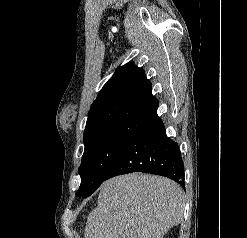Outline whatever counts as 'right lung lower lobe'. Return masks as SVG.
<instances>
[{
  "mask_svg": "<svg viewBox=\"0 0 247 238\" xmlns=\"http://www.w3.org/2000/svg\"><path fill=\"white\" fill-rule=\"evenodd\" d=\"M132 172L168 177L184 186V168L177 144L168 138L163 121L155 115L131 140L110 168L106 179Z\"/></svg>",
  "mask_w": 247,
  "mask_h": 238,
  "instance_id": "obj_1",
  "label": "right lung lower lobe"
}]
</instances>
